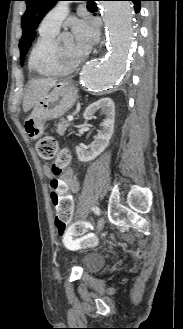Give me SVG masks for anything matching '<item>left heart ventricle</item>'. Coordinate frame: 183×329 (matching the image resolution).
I'll use <instances>...</instances> for the list:
<instances>
[{
  "label": "left heart ventricle",
  "instance_id": "1",
  "mask_svg": "<svg viewBox=\"0 0 183 329\" xmlns=\"http://www.w3.org/2000/svg\"><path fill=\"white\" fill-rule=\"evenodd\" d=\"M60 48L64 54L65 64L74 63L84 57L85 53L80 52L75 47L73 40H67L60 44Z\"/></svg>",
  "mask_w": 183,
  "mask_h": 329
}]
</instances>
